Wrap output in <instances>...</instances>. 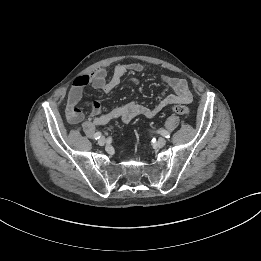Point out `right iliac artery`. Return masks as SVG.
<instances>
[{
  "label": "right iliac artery",
  "instance_id": "obj_1",
  "mask_svg": "<svg viewBox=\"0 0 261 261\" xmlns=\"http://www.w3.org/2000/svg\"><path fill=\"white\" fill-rule=\"evenodd\" d=\"M100 137H101V132H96V133L94 134V139H95V140L99 139Z\"/></svg>",
  "mask_w": 261,
  "mask_h": 261
}]
</instances>
